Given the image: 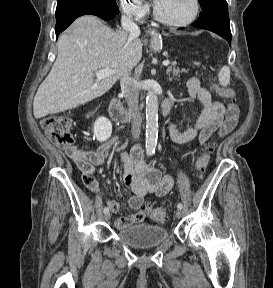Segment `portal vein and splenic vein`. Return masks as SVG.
I'll use <instances>...</instances> for the list:
<instances>
[{
	"label": "portal vein and splenic vein",
	"instance_id": "18ae733b",
	"mask_svg": "<svg viewBox=\"0 0 273 288\" xmlns=\"http://www.w3.org/2000/svg\"><path fill=\"white\" fill-rule=\"evenodd\" d=\"M170 64V62L168 60L163 61V65L164 66H168ZM114 73L113 70L111 69H102L99 71L95 72V76L97 77V80H102L104 78H107L109 76H111Z\"/></svg>",
	"mask_w": 273,
	"mask_h": 288
}]
</instances>
